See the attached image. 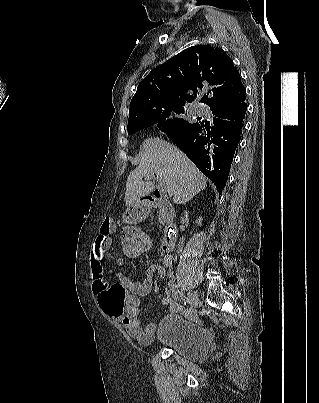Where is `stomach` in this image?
I'll use <instances>...</instances> for the list:
<instances>
[{"label":"stomach","mask_w":319,"mask_h":403,"mask_svg":"<svg viewBox=\"0 0 319 403\" xmlns=\"http://www.w3.org/2000/svg\"><path fill=\"white\" fill-rule=\"evenodd\" d=\"M122 223L123 224H139L140 223V216L137 215V207L130 206L122 216Z\"/></svg>","instance_id":"stomach-1"}]
</instances>
